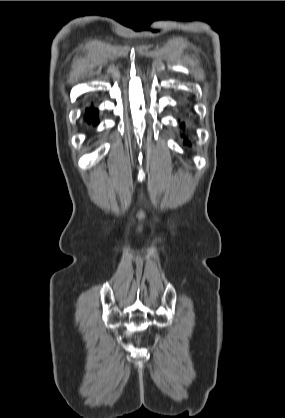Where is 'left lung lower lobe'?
<instances>
[{
  "label": "left lung lower lobe",
  "instance_id": "0a47b994",
  "mask_svg": "<svg viewBox=\"0 0 285 418\" xmlns=\"http://www.w3.org/2000/svg\"><path fill=\"white\" fill-rule=\"evenodd\" d=\"M180 127L182 128V129H184L185 128V123H181L180 124ZM183 136V138L184 139H186V137L184 136V135H182ZM184 144H187L188 146H190L191 145V143L189 142V141H184Z\"/></svg>",
  "mask_w": 285,
  "mask_h": 418
}]
</instances>
